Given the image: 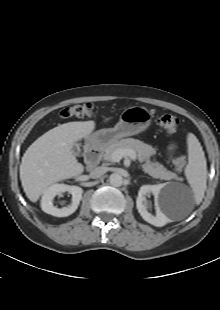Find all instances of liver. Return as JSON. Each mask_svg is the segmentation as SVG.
Masks as SVG:
<instances>
[{"mask_svg":"<svg viewBox=\"0 0 220 310\" xmlns=\"http://www.w3.org/2000/svg\"><path fill=\"white\" fill-rule=\"evenodd\" d=\"M94 128L92 120L68 122L49 130L29 146L20 164V180L30 201L37 202L52 184L83 173L84 166L77 161L72 147Z\"/></svg>","mask_w":220,"mask_h":310,"instance_id":"1","label":"liver"}]
</instances>
